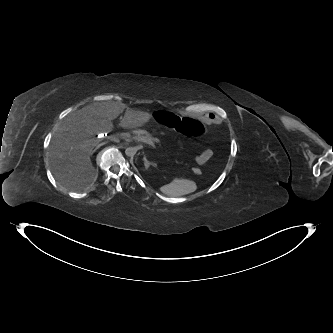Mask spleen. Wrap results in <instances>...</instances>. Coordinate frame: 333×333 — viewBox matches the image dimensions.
<instances>
[{
	"label": "spleen",
	"mask_w": 333,
	"mask_h": 333,
	"mask_svg": "<svg viewBox=\"0 0 333 333\" xmlns=\"http://www.w3.org/2000/svg\"><path fill=\"white\" fill-rule=\"evenodd\" d=\"M197 185L192 180L175 179L171 183L160 187V191L171 197H179L196 191Z\"/></svg>",
	"instance_id": "1"
}]
</instances>
